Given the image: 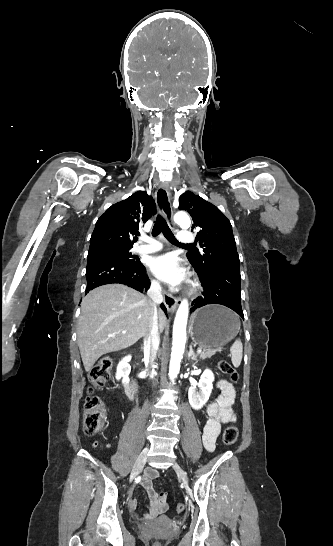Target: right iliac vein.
I'll return each mask as SVG.
<instances>
[{
  "label": "right iliac vein",
  "mask_w": 333,
  "mask_h": 546,
  "mask_svg": "<svg viewBox=\"0 0 333 546\" xmlns=\"http://www.w3.org/2000/svg\"><path fill=\"white\" fill-rule=\"evenodd\" d=\"M148 451L149 449L148 448H145L141 453L140 455L138 456L135 464H134V467H133V470H132V476L135 477L144 467L145 463H146V460H147V455H148Z\"/></svg>",
  "instance_id": "obj_1"
}]
</instances>
